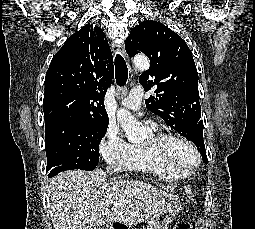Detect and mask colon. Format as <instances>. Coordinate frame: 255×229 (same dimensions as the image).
Segmentation results:
<instances>
[{
  "label": "colon",
  "mask_w": 255,
  "mask_h": 229,
  "mask_svg": "<svg viewBox=\"0 0 255 229\" xmlns=\"http://www.w3.org/2000/svg\"><path fill=\"white\" fill-rule=\"evenodd\" d=\"M174 229H190V227L186 222L181 221L176 225Z\"/></svg>",
  "instance_id": "colon-1"
}]
</instances>
